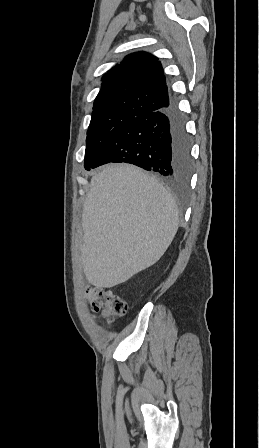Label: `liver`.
<instances>
[{
    "label": "liver",
    "mask_w": 259,
    "mask_h": 448,
    "mask_svg": "<svg viewBox=\"0 0 259 448\" xmlns=\"http://www.w3.org/2000/svg\"><path fill=\"white\" fill-rule=\"evenodd\" d=\"M178 208L148 172L108 164L92 176L82 210L83 272L96 288H113L156 264L178 230Z\"/></svg>",
    "instance_id": "1"
}]
</instances>
